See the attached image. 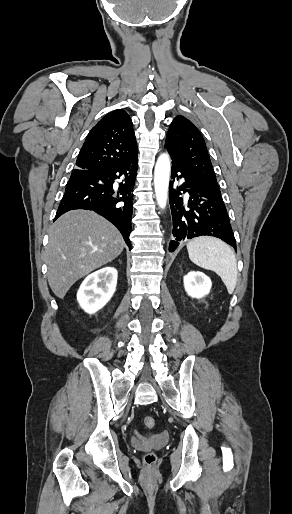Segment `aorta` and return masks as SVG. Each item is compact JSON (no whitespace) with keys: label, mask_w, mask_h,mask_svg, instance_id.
Segmentation results:
<instances>
[{"label":"aorta","mask_w":292,"mask_h":514,"mask_svg":"<svg viewBox=\"0 0 292 514\" xmlns=\"http://www.w3.org/2000/svg\"><path fill=\"white\" fill-rule=\"evenodd\" d=\"M170 160L167 154L159 156L154 170V190L159 208H165L170 180Z\"/></svg>","instance_id":"obj_1"}]
</instances>
